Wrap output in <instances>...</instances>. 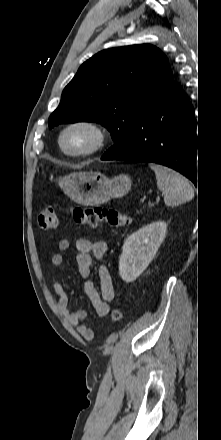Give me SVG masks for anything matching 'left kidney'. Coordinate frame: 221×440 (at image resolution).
Masks as SVG:
<instances>
[{"mask_svg": "<svg viewBox=\"0 0 221 440\" xmlns=\"http://www.w3.org/2000/svg\"><path fill=\"white\" fill-rule=\"evenodd\" d=\"M166 230L164 221H156L126 238L119 259V274L125 282L136 280L148 267L165 238Z\"/></svg>", "mask_w": 221, "mask_h": 440, "instance_id": "obj_1", "label": "left kidney"}]
</instances>
